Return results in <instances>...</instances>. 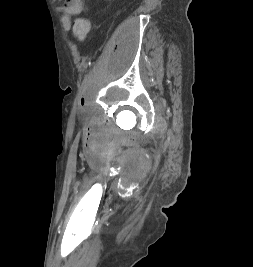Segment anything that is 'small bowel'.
<instances>
[{
  "label": "small bowel",
  "instance_id": "small-bowel-1",
  "mask_svg": "<svg viewBox=\"0 0 253 267\" xmlns=\"http://www.w3.org/2000/svg\"><path fill=\"white\" fill-rule=\"evenodd\" d=\"M62 2L59 7L61 13L62 25L64 29L69 30L74 18L84 10V0H55Z\"/></svg>",
  "mask_w": 253,
  "mask_h": 267
}]
</instances>
